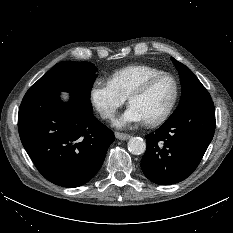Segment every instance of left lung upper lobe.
Segmentation results:
<instances>
[{
  "label": "left lung upper lobe",
  "mask_w": 233,
  "mask_h": 233,
  "mask_svg": "<svg viewBox=\"0 0 233 233\" xmlns=\"http://www.w3.org/2000/svg\"><path fill=\"white\" fill-rule=\"evenodd\" d=\"M172 61L180 74L182 92L178 107L168 119L176 117L194 106L212 102L210 94L194 73L174 58Z\"/></svg>",
  "instance_id": "1"
}]
</instances>
